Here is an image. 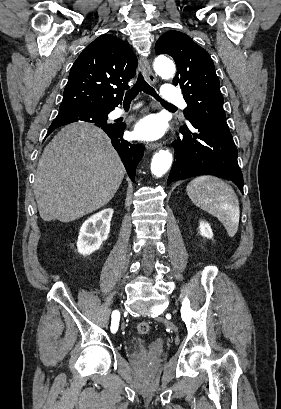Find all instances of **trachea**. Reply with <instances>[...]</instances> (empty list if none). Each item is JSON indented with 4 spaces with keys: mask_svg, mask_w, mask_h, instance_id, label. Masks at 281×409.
Here are the masks:
<instances>
[{
    "mask_svg": "<svg viewBox=\"0 0 281 409\" xmlns=\"http://www.w3.org/2000/svg\"><path fill=\"white\" fill-rule=\"evenodd\" d=\"M139 92H144L148 95L153 96L157 101H160L162 104L172 105L169 104L166 100L161 99L159 95L155 92L153 87H151L144 79L143 75L139 73L137 81L135 85L126 92L124 97V103H131L132 100L139 94Z\"/></svg>",
    "mask_w": 281,
    "mask_h": 409,
    "instance_id": "1",
    "label": "trachea"
}]
</instances>
